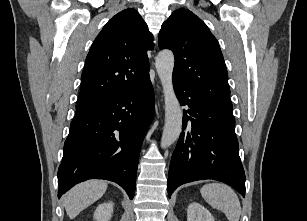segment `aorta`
I'll return each instance as SVG.
<instances>
[{"instance_id":"1","label":"aorta","mask_w":307,"mask_h":221,"mask_svg":"<svg viewBox=\"0 0 307 221\" xmlns=\"http://www.w3.org/2000/svg\"><path fill=\"white\" fill-rule=\"evenodd\" d=\"M174 62V54L170 50L159 52L155 62L165 101V125L161 138L163 148L172 145L179 138L182 129V110L172 83Z\"/></svg>"}]
</instances>
